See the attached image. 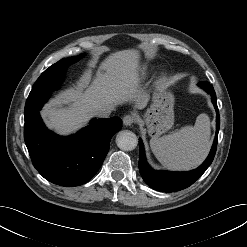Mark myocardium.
<instances>
[{
	"label": "myocardium",
	"mask_w": 247,
	"mask_h": 247,
	"mask_svg": "<svg viewBox=\"0 0 247 247\" xmlns=\"http://www.w3.org/2000/svg\"><path fill=\"white\" fill-rule=\"evenodd\" d=\"M166 78H167V74H166V73H163V74L161 75L160 81H161V82H165Z\"/></svg>",
	"instance_id": "1"
}]
</instances>
